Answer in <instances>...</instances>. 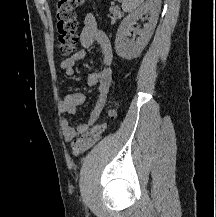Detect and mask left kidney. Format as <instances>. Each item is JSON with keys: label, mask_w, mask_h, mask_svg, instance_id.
I'll return each mask as SVG.
<instances>
[{"label": "left kidney", "mask_w": 216, "mask_h": 217, "mask_svg": "<svg viewBox=\"0 0 216 217\" xmlns=\"http://www.w3.org/2000/svg\"><path fill=\"white\" fill-rule=\"evenodd\" d=\"M160 7V0H147L123 19L117 30L115 39V50L119 57L131 60L139 56L153 34ZM147 14L150 15L148 23L144 25L143 29H135L133 26L136 24V21ZM131 31H135L139 35L136 41L128 38L131 35Z\"/></svg>", "instance_id": "left-kidney-1"}]
</instances>
